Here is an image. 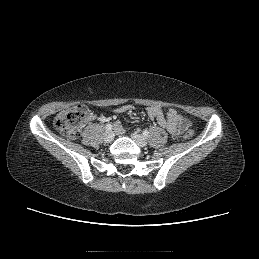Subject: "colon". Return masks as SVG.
Returning a JSON list of instances; mask_svg holds the SVG:
<instances>
[{
  "label": "colon",
  "mask_w": 259,
  "mask_h": 259,
  "mask_svg": "<svg viewBox=\"0 0 259 259\" xmlns=\"http://www.w3.org/2000/svg\"><path fill=\"white\" fill-rule=\"evenodd\" d=\"M90 115V109L86 105H78L63 110L54 119L55 128L67 138L76 140L80 136L81 128ZM194 132L188 129L184 132L186 139H191Z\"/></svg>",
  "instance_id": "5ec220e1"
}]
</instances>
